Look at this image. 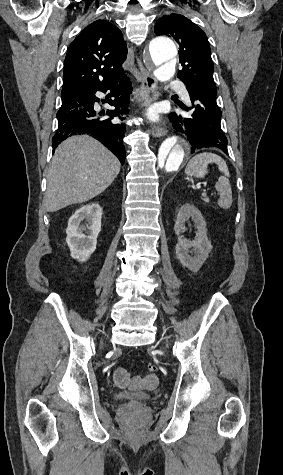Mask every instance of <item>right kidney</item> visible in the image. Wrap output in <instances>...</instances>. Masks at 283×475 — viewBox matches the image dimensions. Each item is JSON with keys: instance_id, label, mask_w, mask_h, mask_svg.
Instances as JSON below:
<instances>
[{"instance_id": "ca27d5eb", "label": "right kidney", "mask_w": 283, "mask_h": 475, "mask_svg": "<svg viewBox=\"0 0 283 475\" xmlns=\"http://www.w3.org/2000/svg\"><path fill=\"white\" fill-rule=\"evenodd\" d=\"M101 218L102 208L99 204L81 206L69 218L66 241L70 247L71 257L78 259V261L89 259L91 253L96 249L97 236L101 232Z\"/></svg>"}]
</instances>
